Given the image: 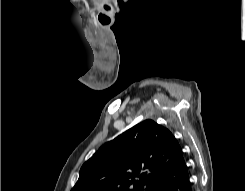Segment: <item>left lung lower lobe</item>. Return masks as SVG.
<instances>
[{"mask_svg":"<svg viewBox=\"0 0 245 191\" xmlns=\"http://www.w3.org/2000/svg\"><path fill=\"white\" fill-rule=\"evenodd\" d=\"M152 191H192L188 167L182 152Z\"/></svg>","mask_w":245,"mask_h":191,"instance_id":"obj_1","label":"left lung lower lobe"}]
</instances>
